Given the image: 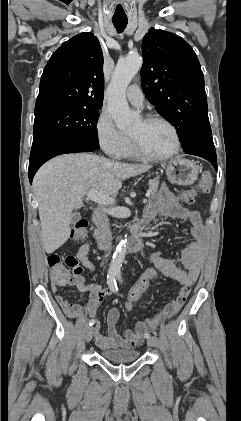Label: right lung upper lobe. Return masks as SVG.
I'll list each match as a JSON object with an SVG mask.
<instances>
[{"label": "right lung upper lobe", "instance_id": "cb5924a9", "mask_svg": "<svg viewBox=\"0 0 241 421\" xmlns=\"http://www.w3.org/2000/svg\"><path fill=\"white\" fill-rule=\"evenodd\" d=\"M103 54L92 33L64 42L44 68L35 109L53 106L97 108L103 103Z\"/></svg>", "mask_w": 241, "mask_h": 421}]
</instances>
